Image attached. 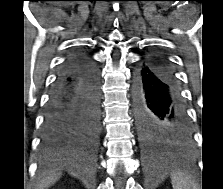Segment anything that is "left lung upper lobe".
Here are the masks:
<instances>
[{
    "instance_id": "5c2ea615",
    "label": "left lung upper lobe",
    "mask_w": 223,
    "mask_h": 189,
    "mask_svg": "<svg viewBox=\"0 0 223 189\" xmlns=\"http://www.w3.org/2000/svg\"><path fill=\"white\" fill-rule=\"evenodd\" d=\"M147 59L159 60L168 69L170 74L176 79L174 72L167 58L161 54H150ZM142 144L149 152L164 151L169 148H182L188 143H184L180 139L173 136L164 126L157 125L149 128L139 127Z\"/></svg>"
}]
</instances>
